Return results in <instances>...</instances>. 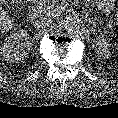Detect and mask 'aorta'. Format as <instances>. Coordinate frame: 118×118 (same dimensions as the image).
Listing matches in <instances>:
<instances>
[{"label":"aorta","instance_id":"762f6f07","mask_svg":"<svg viewBox=\"0 0 118 118\" xmlns=\"http://www.w3.org/2000/svg\"><path fill=\"white\" fill-rule=\"evenodd\" d=\"M66 31L73 35H79L84 31V25L78 18L67 17L62 21Z\"/></svg>","mask_w":118,"mask_h":118}]
</instances>
